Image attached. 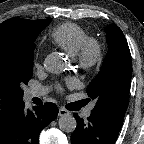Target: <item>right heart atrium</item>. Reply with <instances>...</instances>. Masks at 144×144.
Wrapping results in <instances>:
<instances>
[{
	"mask_svg": "<svg viewBox=\"0 0 144 144\" xmlns=\"http://www.w3.org/2000/svg\"><path fill=\"white\" fill-rule=\"evenodd\" d=\"M34 66H35V67H39V66H40V62H39L38 59H36V60L34 61Z\"/></svg>",
	"mask_w": 144,
	"mask_h": 144,
	"instance_id": "right-heart-atrium-1",
	"label": "right heart atrium"
}]
</instances>
